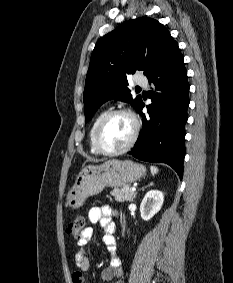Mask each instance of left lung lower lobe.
I'll return each mask as SVG.
<instances>
[{"instance_id": "left-lung-lower-lobe-1", "label": "left lung lower lobe", "mask_w": 233, "mask_h": 283, "mask_svg": "<svg viewBox=\"0 0 233 283\" xmlns=\"http://www.w3.org/2000/svg\"><path fill=\"white\" fill-rule=\"evenodd\" d=\"M147 78L153 84L149 92L152 104L147 106V117L142 113L143 102L137 109L142 115L143 131L129 154L148 162L166 163L182 179L189 84L178 44Z\"/></svg>"}]
</instances>
